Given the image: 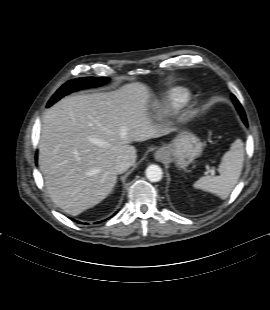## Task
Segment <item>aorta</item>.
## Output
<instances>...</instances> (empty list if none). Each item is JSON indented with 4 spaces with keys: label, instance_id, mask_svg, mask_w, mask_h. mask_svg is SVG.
Returning a JSON list of instances; mask_svg holds the SVG:
<instances>
[{
    "label": "aorta",
    "instance_id": "762f6f07",
    "mask_svg": "<svg viewBox=\"0 0 270 310\" xmlns=\"http://www.w3.org/2000/svg\"><path fill=\"white\" fill-rule=\"evenodd\" d=\"M145 173H146L147 179L150 180L151 182H158L163 177L162 169L158 165H155V164L149 165Z\"/></svg>",
    "mask_w": 270,
    "mask_h": 310
}]
</instances>
